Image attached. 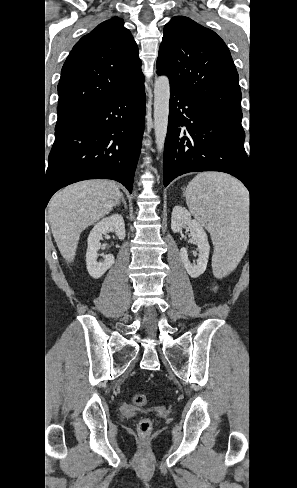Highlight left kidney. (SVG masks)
Masks as SVG:
<instances>
[{"instance_id":"5707ae66","label":"left kidney","mask_w":297,"mask_h":488,"mask_svg":"<svg viewBox=\"0 0 297 488\" xmlns=\"http://www.w3.org/2000/svg\"><path fill=\"white\" fill-rule=\"evenodd\" d=\"M188 226L195 244L198 247L199 255L197 264H191L186 248L180 249V257L188 274L192 278H197L204 273L207 267L210 246L207 234L203 226L195 219H191V214L182 206H175L172 211L171 229L174 233Z\"/></svg>"}]
</instances>
